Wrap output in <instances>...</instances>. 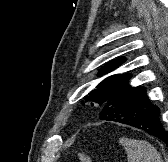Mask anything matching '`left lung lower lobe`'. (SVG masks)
Listing matches in <instances>:
<instances>
[{
  "mask_svg": "<svg viewBox=\"0 0 168 162\" xmlns=\"http://www.w3.org/2000/svg\"><path fill=\"white\" fill-rule=\"evenodd\" d=\"M100 119L142 129L168 146V132L161 124L160 109L149 101L143 87L122 85L109 96Z\"/></svg>",
  "mask_w": 168,
  "mask_h": 162,
  "instance_id": "left-lung-lower-lobe-1",
  "label": "left lung lower lobe"
}]
</instances>
